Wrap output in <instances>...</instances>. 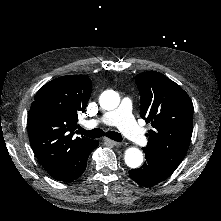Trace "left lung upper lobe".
<instances>
[{
  "instance_id": "left-lung-upper-lobe-1",
  "label": "left lung upper lobe",
  "mask_w": 221,
  "mask_h": 221,
  "mask_svg": "<svg viewBox=\"0 0 221 221\" xmlns=\"http://www.w3.org/2000/svg\"><path fill=\"white\" fill-rule=\"evenodd\" d=\"M135 79L141 94L140 116L154 128L143 150L174 171L191 141L192 101L177 83L159 72H143Z\"/></svg>"
}]
</instances>
